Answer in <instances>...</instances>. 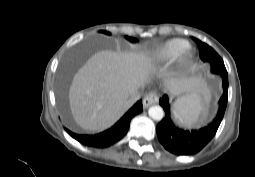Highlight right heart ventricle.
Segmentation results:
<instances>
[{"label":"right heart ventricle","mask_w":255,"mask_h":177,"mask_svg":"<svg viewBox=\"0 0 255 177\" xmlns=\"http://www.w3.org/2000/svg\"><path fill=\"white\" fill-rule=\"evenodd\" d=\"M187 44L186 40L180 38L168 40L154 50L153 58L159 63L172 62Z\"/></svg>","instance_id":"e07e8e85"}]
</instances>
